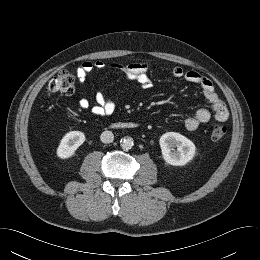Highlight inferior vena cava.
Here are the masks:
<instances>
[{
	"label": "inferior vena cava",
	"instance_id": "1",
	"mask_svg": "<svg viewBox=\"0 0 260 260\" xmlns=\"http://www.w3.org/2000/svg\"><path fill=\"white\" fill-rule=\"evenodd\" d=\"M100 139L103 143H111L114 140V135L111 131L102 132Z\"/></svg>",
	"mask_w": 260,
	"mask_h": 260
}]
</instances>
